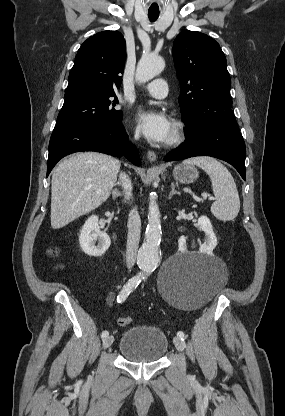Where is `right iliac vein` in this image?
<instances>
[{
  "mask_svg": "<svg viewBox=\"0 0 285 416\" xmlns=\"http://www.w3.org/2000/svg\"><path fill=\"white\" fill-rule=\"evenodd\" d=\"M113 340H114V337L112 335L105 337L102 343L103 349L110 347L111 344L113 343Z\"/></svg>",
  "mask_w": 285,
  "mask_h": 416,
  "instance_id": "1",
  "label": "right iliac vein"
}]
</instances>
